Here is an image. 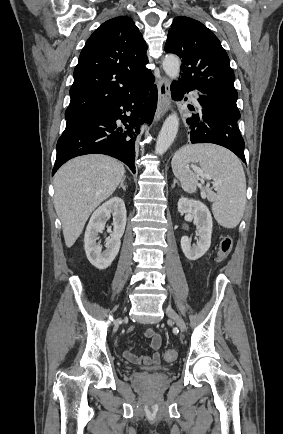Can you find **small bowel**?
<instances>
[{
  "instance_id": "small-bowel-1",
  "label": "small bowel",
  "mask_w": 283,
  "mask_h": 434,
  "mask_svg": "<svg viewBox=\"0 0 283 434\" xmlns=\"http://www.w3.org/2000/svg\"><path fill=\"white\" fill-rule=\"evenodd\" d=\"M130 330H132V328ZM144 335L146 338L150 339V347L153 350L152 355L140 358L134 355L131 351L125 350L123 351V356L133 364H142L144 366H157L161 362V357L158 350L162 344V337L152 328H147L144 332Z\"/></svg>"
}]
</instances>
